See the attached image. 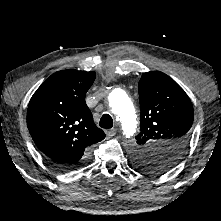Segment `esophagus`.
<instances>
[{
    "label": "esophagus",
    "instance_id": "1",
    "mask_svg": "<svg viewBox=\"0 0 221 221\" xmlns=\"http://www.w3.org/2000/svg\"><path fill=\"white\" fill-rule=\"evenodd\" d=\"M115 134H116V129H115V128H112V129H109V130L106 131V135H107L108 137H112V136H114Z\"/></svg>",
    "mask_w": 221,
    "mask_h": 221
}]
</instances>
